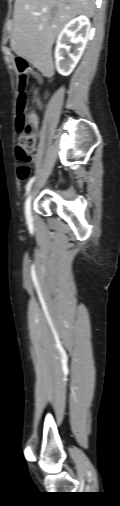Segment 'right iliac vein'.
Returning a JSON list of instances; mask_svg holds the SVG:
<instances>
[{
  "mask_svg": "<svg viewBox=\"0 0 120 506\" xmlns=\"http://www.w3.org/2000/svg\"><path fill=\"white\" fill-rule=\"evenodd\" d=\"M31 202H32V194L30 193L25 203V215L27 220L31 219Z\"/></svg>",
  "mask_w": 120,
  "mask_h": 506,
  "instance_id": "right-iliac-vein-1",
  "label": "right iliac vein"
}]
</instances>
